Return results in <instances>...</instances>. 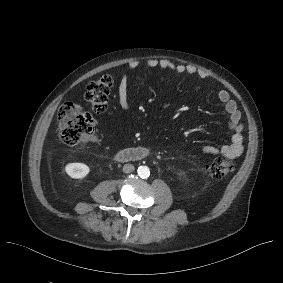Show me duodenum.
Instances as JSON below:
<instances>
[{
	"label": "duodenum",
	"instance_id": "410a0bca",
	"mask_svg": "<svg viewBox=\"0 0 283 283\" xmlns=\"http://www.w3.org/2000/svg\"><path fill=\"white\" fill-rule=\"evenodd\" d=\"M150 151L143 147L130 148L119 151L115 159L119 162L139 161L149 157Z\"/></svg>",
	"mask_w": 283,
	"mask_h": 283
}]
</instances>
